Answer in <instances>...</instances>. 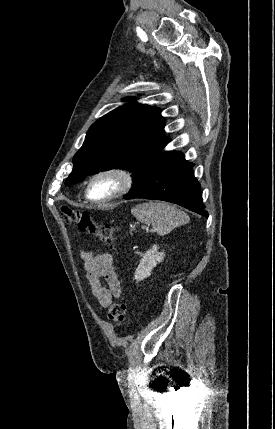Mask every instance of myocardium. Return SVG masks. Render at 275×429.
Here are the masks:
<instances>
[{"label": "myocardium", "instance_id": "myocardium-1", "mask_svg": "<svg viewBox=\"0 0 275 429\" xmlns=\"http://www.w3.org/2000/svg\"><path fill=\"white\" fill-rule=\"evenodd\" d=\"M104 176L113 177L117 182L116 188L112 193H110L106 197L98 198V199L92 198L90 195V189L93 182L96 179ZM132 184H133L132 173L126 167L120 166V165H112V166L104 167L94 172L88 179V182L85 188V197L90 202H93L96 204L108 203L128 193V191L132 187Z\"/></svg>", "mask_w": 275, "mask_h": 429}]
</instances>
